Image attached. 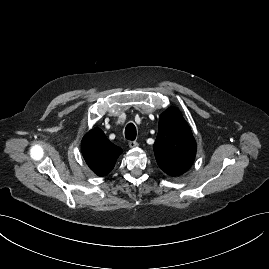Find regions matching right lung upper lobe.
Listing matches in <instances>:
<instances>
[{"mask_svg": "<svg viewBox=\"0 0 269 269\" xmlns=\"http://www.w3.org/2000/svg\"><path fill=\"white\" fill-rule=\"evenodd\" d=\"M81 149L87 165L98 176L107 175L122 153V149L111 143L98 128L92 129L84 136Z\"/></svg>", "mask_w": 269, "mask_h": 269, "instance_id": "cb5924a9", "label": "right lung upper lobe"}]
</instances>
